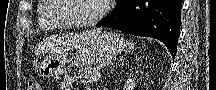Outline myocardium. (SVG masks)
Listing matches in <instances>:
<instances>
[{
	"instance_id": "f54148a6",
	"label": "myocardium",
	"mask_w": 216,
	"mask_h": 90,
	"mask_svg": "<svg viewBox=\"0 0 216 90\" xmlns=\"http://www.w3.org/2000/svg\"><path fill=\"white\" fill-rule=\"evenodd\" d=\"M58 5L60 8H57V11H55V17L54 18H61L63 22L72 28H91L93 25L100 22L103 17L107 14L109 6L105 1L102 2V7L99 11V13L86 21H74L70 19L67 15L69 12V9L72 8V5H69V3H72V0H57Z\"/></svg>"
}]
</instances>
